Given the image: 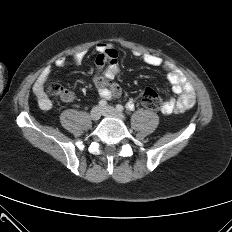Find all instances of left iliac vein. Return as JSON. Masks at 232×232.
I'll use <instances>...</instances> for the list:
<instances>
[{
	"label": "left iliac vein",
	"instance_id": "obj_1",
	"mask_svg": "<svg viewBox=\"0 0 232 232\" xmlns=\"http://www.w3.org/2000/svg\"><path fill=\"white\" fill-rule=\"evenodd\" d=\"M102 114L104 116H109V117H115L118 118L120 120H124L125 116L123 115V113L119 112L118 110L114 109L111 106H106L102 109Z\"/></svg>",
	"mask_w": 232,
	"mask_h": 232
}]
</instances>
